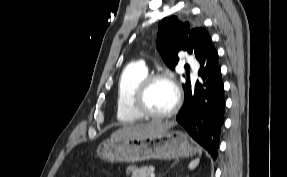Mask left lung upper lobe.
<instances>
[{
	"label": "left lung upper lobe",
	"instance_id": "obj_1",
	"mask_svg": "<svg viewBox=\"0 0 287 177\" xmlns=\"http://www.w3.org/2000/svg\"><path fill=\"white\" fill-rule=\"evenodd\" d=\"M211 45V38L205 29L191 28L189 22H182L176 16L164 18L159 23L157 48L171 69L179 60L177 53L180 50L194 53L199 60L207 54Z\"/></svg>",
	"mask_w": 287,
	"mask_h": 177
}]
</instances>
